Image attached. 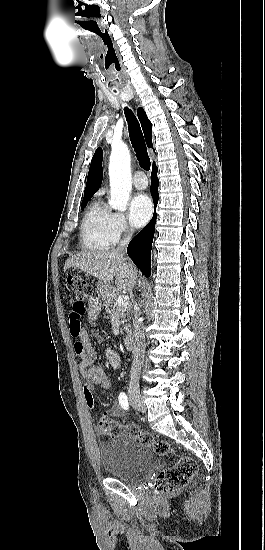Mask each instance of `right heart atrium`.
Here are the masks:
<instances>
[{"instance_id":"1","label":"right heart atrium","mask_w":265,"mask_h":550,"mask_svg":"<svg viewBox=\"0 0 265 550\" xmlns=\"http://www.w3.org/2000/svg\"><path fill=\"white\" fill-rule=\"evenodd\" d=\"M112 231L116 240H119L121 237H126L131 235L132 230L128 225L126 217L122 213H114L112 218Z\"/></svg>"}]
</instances>
